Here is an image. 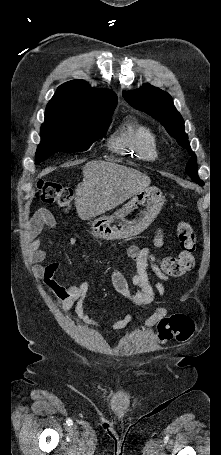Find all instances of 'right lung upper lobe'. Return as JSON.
Here are the masks:
<instances>
[{
    "mask_svg": "<svg viewBox=\"0 0 221 455\" xmlns=\"http://www.w3.org/2000/svg\"><path fill=\"white\" fill-rule=\"evenodd\" d=\"M117 101V95L111 90L91 88L83 80H72L58 87L45 114L85 119L115 109Z\"/></svg>",
    "mask_w": 221,
    "mask_h": 455,
    "instance_id": "obj_1",
    "label": "right lung upper lobe"
}]
</instances>
